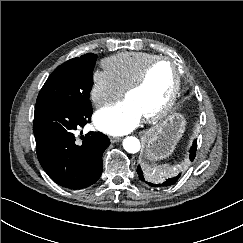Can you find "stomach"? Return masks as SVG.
I'll return each mask as SVG.
<instances>
[{"label": "stomach", "instance_id": "obj_1", "mask_svg": "<svg viewBox=\"0 0 243 243\" xmlns=\"http://www.w3.org/2000/svg\"><path fill=\"white\" fill-rule=\"evenodd\" d=\"M184 128V117L180 113H175L147 132L144 147L145 159L158 161L169 157L180 140Z\"/></svg>", "mask_w": 243, "mask_h": 243}]
</instances>
